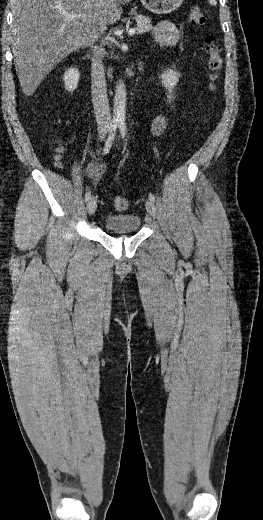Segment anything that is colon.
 I'll return each mask as SVG.
<instances>
[{"label": "colon", "mask_w": 263, "mask_h": 520, "mask_svg": "<svg viewBox=\"0 0 263 520\" xmlns=\"http://www.w3.org/2000/svg\"><path fill=\"white\" fill-rule=\"evenodd\" d=\"M188 22L191 25L205 27L207 26V18L198 6H193L188 14ZM205 51L207 54V67L210 77L215 82L220 74L223 65L221 56V46L217 43L212 35H208L205 42ZM114 208L122 211L126 208V200L123 197H116L113 201Z\"/></svg>", "instance_id": "1"}]
</instances>
